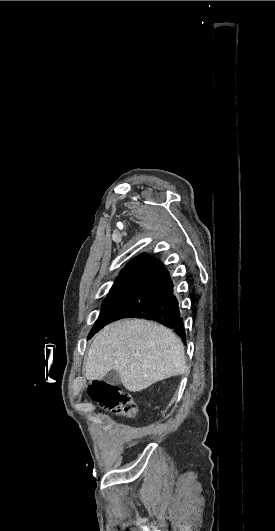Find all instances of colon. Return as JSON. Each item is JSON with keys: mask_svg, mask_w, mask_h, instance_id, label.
<instances>
[{"mask_svg": "<svg viewBox=\"0 0 275 531\" xmlns=\"http://www.w3.org/2000/svg\"><path fill=\"white\" fill-rule=\"evenodd\" d=\"M89 396L108 412L133 417L137 409L131 396L113 382L98 380L87 387Z\"/></svg>", "mask_w": 275, "mask_h": 531, "instance_id": "colon-1", "label": "colon"}]
</instances>
